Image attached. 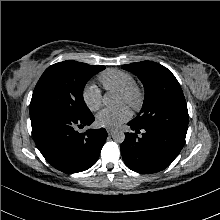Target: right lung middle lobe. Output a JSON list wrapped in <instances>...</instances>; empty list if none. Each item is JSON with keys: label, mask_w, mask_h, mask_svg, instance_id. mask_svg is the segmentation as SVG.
<instances>
[{"label": "right lung middle lobe", "mask_w": 220, "mask_h": 220, "mask_svg": "<svg viewBox=\"0 0 220 220\" xmlns=\"http://www.w3.org/2000/svg\"><path fill=\"white\" fill-rule=\"evenodd\" d=\"M103 69L105 66L77 61L51 65L40 77L30 107L47 106L76 117L90 114L83 100V89L87 81Z\"/></svg>", "instance_id": "right-lung-middle-lobe-1"}]
</instances>
